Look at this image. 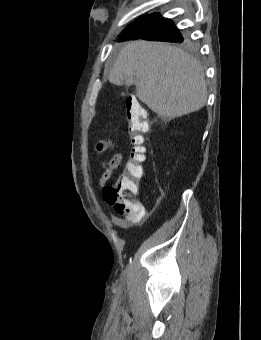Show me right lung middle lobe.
<instances>
[{
	"label": "right lung middle lobe",
	"mask_w": 261,
	"mask_h": 340,
	"mask_svg": "<svg viewBox=\"0 0 261 340\" xmlns=\"http://www.w3.org/2000/svg\"><path fill=\"white\" fill-rule=\"evenodd\" d=\"M145 16H142V17H140L139 19H137L136 21H134L133 23H131L124 31H123V33H125L127 30H129L131 27H133L137 22H139L142 18H144ZM169 42H175V43H182V42H184V43H188L189 42V39H188V37L187 36H185V35H182L181 33H179V34H177V35H175L174 37H172L171 39H170V41Z\"/></svg>",
	"instance_id": "obj_1"
}]
</instances>
